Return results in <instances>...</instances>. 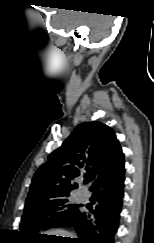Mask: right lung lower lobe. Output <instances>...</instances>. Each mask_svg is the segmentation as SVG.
Masks as SVG:
<instances>
[{"label":"right lung lower lobe","instance_id":"98d812e1","mask_svg":"<svg viewBox=\"0 0 154 243\" xmlns=\"http://www.w3.org/2000/svg\"><path fill=\"white\" fill-rule=\"evenodd\" d=\"M124 173L123 165L90 188L94 208L79 210L59 225L73 226L79 234V238L66 239L65 243H114L123 200Z\"/></svg>","mask_w":154,"mask_h":243}]
</instances>
